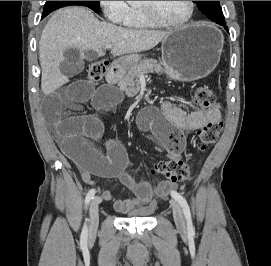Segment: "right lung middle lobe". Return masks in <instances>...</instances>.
<instances>
[{"instance_id":"obj_1","label":"right lung middle lobe","mask_w":271,"mask_h":266,"mask_svg":"<svg viewBox=\"0 0 271 266\" xmlns=\"http://www.w3.org/2000/svg\"><path fill=\"white\" fill-rule=\"evenodd\" d=\"M79 5L86 6L95 12H98L100 2L99 1H46L42 18L47 16L52 11L65 6Z\"/></svg>"}]
</instances>
